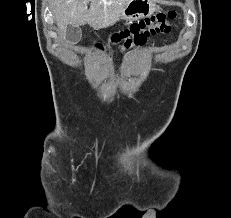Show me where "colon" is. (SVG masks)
I'll return each mask as SVG.
<instances>
[{
    "mask_svg": "<svg viewBox=\"0 0 231 218\" xmlns=\"http://www.w3.org/2000/svg\"><path fill=\"white\" fill-rule=\"evenodd\" d=\"M175 18L176 13L174 11L152 15L114 33L108 45L99 43L96 45V48L103 50L108 48L109 45H116L120 49L125 50L143 45L150 36L169 33L172 21Z\"/></svg>",
    "mask_w": 231,
    "mask_h": 218,
    "instance_id": "5ec220e1",
    "label": "colon"
}]
</instances>
